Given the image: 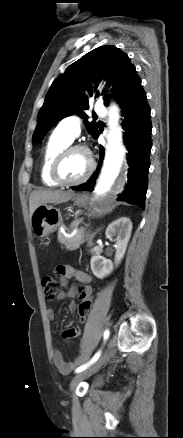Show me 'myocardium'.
Masks as SVG:
<instances>
[{
  "label": "myocardium",
  "instance_id": "1",
  "mask_svg": "<svg viewBox=\"0 0 183 438\" xmlns=\"http://www.w3.org/2000/svg\"><path fill=\"white\" fill-rule=\"evenodd\" d=\"M75 151H81L83 153L86 154L87 159H88V168L87 171L85 172V174L79 178L78 180L75 181H65L60 177L59 171H60V166L63 162V160L72 152ZM95 170V161L94 158L90 152V150L81 144H70L67 147L63 148L61 151H59L57 153V155L54 157L50 170H49V175L51 177V179L59 186H65V187H73V186H78L81 185L83 183H85L93 174Z\"/></svg>",
  "mask_w": 183,
  "mask_h": 438
}]
</instances>
